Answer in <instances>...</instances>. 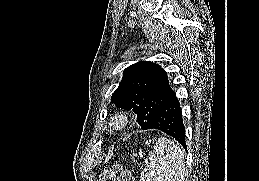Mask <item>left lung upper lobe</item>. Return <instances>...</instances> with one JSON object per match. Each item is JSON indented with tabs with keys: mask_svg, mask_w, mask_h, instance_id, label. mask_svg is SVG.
<instances>
[{
	"mask_svg": "<svg viewBox=\"0 0 259 181\" xmlns=\"http://www.w3.org/2000/svg\"><path fill=\"white\" fill-rule=\"evenodd\" d=\"M167 73L158 64L140 61L124 70L122 81L111 97L121 109L133 110L144 130L171 95Z\"/></svg>",
	"mask_w": 259,
	"mask_h": 181,
	"instance_id": "1",
	"label": "left lung upper lobe"
}]
</instances>
